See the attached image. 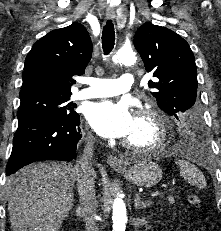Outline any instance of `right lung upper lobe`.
Masks as SVG:
<instances>
[{"mask_svg":"<svg viewBox=\"0 0 221 231\" xmlns=\"http://www.w3.org/2000/svg\"><path fill=\"white\" fill-rule=\"evenodd\" d=\"M92 55L85 27L74 23L38 40L25 59L20 98L71 96L72 76L82 75Z\"/></svg>","mask_w":221,"mask_h":231,"instance_id":"right-lung-upper-lobe-1","label":"right lung upper lobe"}]
</instances>
